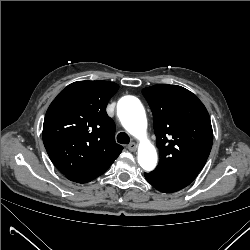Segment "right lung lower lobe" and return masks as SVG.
<instances>
[{"mask_svg": "<svg viewBox=\"0 0 250 250\" xmlns=\"http://www.w3.org/2000/svg\"><path fill=\"white\" fill-rule=\"evenodd\" d=\"M111 164H108L107 166H105V167H103V168H101L99 170L93 171V172L85 173V174H82V175L69 176L67 178L69 180L77 182V183H86V182L92 181L96 177H98L101 174H103L104 172H106Z\"/></svg>", "mask_w": 250, "mask_h": 250, "instance_id": "obj_1", "label": "right lung lower lobe"}]
</instances>
